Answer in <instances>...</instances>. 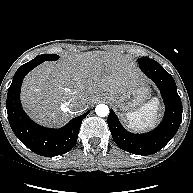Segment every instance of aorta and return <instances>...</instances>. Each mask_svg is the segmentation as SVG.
<instances>
[{
    "label": "aorta",
    "instance_id": "obj_1",
    "mask_svg": "<svg viewBox=\"0 0 193 193\" xmlns=\"http://www.w3.org/2000/svg\"><path fill=\"white\" fill-rule=\"evenodd\" d=\"M95 112L100 117H105L109 114V108L105 104H99L95 108Z\"/></svg>",
    "mask_w": 193,
    "mask_h": 193
}]
</instances>
